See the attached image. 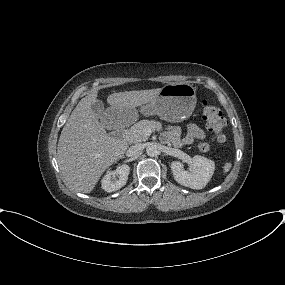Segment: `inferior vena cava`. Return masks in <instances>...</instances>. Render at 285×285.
I'll use <instances>...</instances> for the list:
<instances>
[{
    "label": "inferior vena cava",
    "instance_id": "1",
    "mask_svg": "<svg viewBox=\"0 0 285 285\" xmlns=\"http://www.w3.org/2000/svg\"><path fill=\"white\" fill-rule=\"evenodd\" d=\"M144 149V146L142 144H134L128 149V155L133 157V156H138L142 153Z\"/></svg>",
    "mask_w": 285,
    "mask_h": 285
}]
</instances>
